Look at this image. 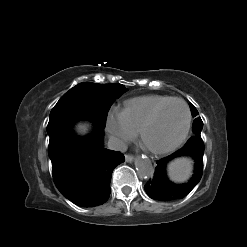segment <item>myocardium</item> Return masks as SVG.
<instances>
[{
    "label": "myocardium",
    "mask_w": 247,
    "mask_h": 247,
    "mask_svg": "<svg viewBox=\"0 0 247 247\" xmlns=\"http://www.w3.org/2000/svg\"><path fill=\"white\" fill-rule=\"evenodd\" d=\"M172 102H180L185 107L186 124H185L184 131H183L182 135L180 136V138L176 142H174L173 144H171L167 147H163V148L150 147L145 142V139H144L145 134H146L147 130L154 124V122L156 121V119L159 116V114L161 113V111L167 105H169ZM191 122H192V114H191V110H190V107L187 104V102L182 98L172 97V98L166 100L165 102L161 103L159 106H157L155 108V110L151 113V115L147 118V120L143 123V125L141 126V128L139 130L140 141H141L142 145L152 154L164 155V154L170 153V152L176 150L177 148H179L184 143V141L186 140V138L188 137V134L190 132Z\"/></svg>",
    "instance_id": "f54148a6"
}]
</instances>
